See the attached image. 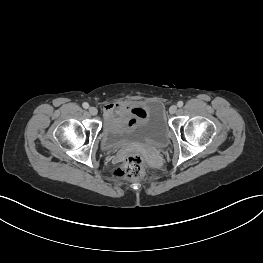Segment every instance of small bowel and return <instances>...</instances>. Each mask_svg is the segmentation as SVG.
<instances>
[{
	"instance_id": "c3829d8e",
	"label": "small bowel",
	"mask_w": 263,
	"mask_h": 263,
	"mask_svg": "<svg viewBox=\"0 0 263 263\" xmlns=\"http://www.w3.org/2000/svg\"><path fill=\"white\" fill-rule=\"evenodd\" d=\"M119 108H121V105H120V104H117V103H112V104L107 105L106 108H105V114H106V116L110 117L111 114H112V112H113L114 110L119 109ZM136 111H139V110L136 109Z\"/></svg>"
}]
</instances>
